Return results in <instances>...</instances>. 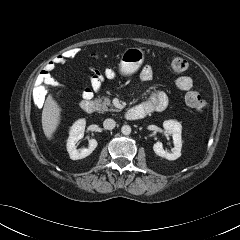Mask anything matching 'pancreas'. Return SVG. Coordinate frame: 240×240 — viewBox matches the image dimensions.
<instances>
[{"label":"pancreas","mask_w":240,"mask_h":240,"mask_svg":"<svg viewBox=\"0 0 240 240\" xmlns=\"http://www.w3.org/2000/svg\"><path fill=\"white\" fill-rule=\"evenodd\" d=\"M97 109L100 112H105V111H119V109L112 108L111 101L108 97H101L95 100ZM108 107H111L110 109Z\"/></svg>","instance_id":"cf45deb5"}]
</instances>
